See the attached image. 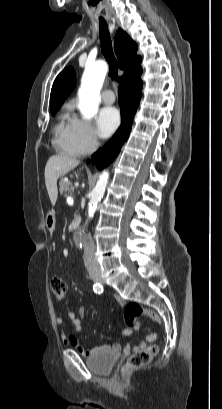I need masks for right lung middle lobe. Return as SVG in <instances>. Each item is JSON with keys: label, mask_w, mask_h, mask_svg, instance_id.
I'll return each instance as SVG.
<instances>
[{"label": "right lung middle lobe", "mask_w": 222, "mask_h": 409, "mask_svg": "<svg viewBox=\"0 0 222 409\" xmlns=\"http://www.w3.org/2000/svg\"><path fill=\"white\" fill-rule=\"evenodd\" d=\"M52 115H54L56 113V111H51Z\"/></svg>", "instance_id": "1"}]
</instances>
